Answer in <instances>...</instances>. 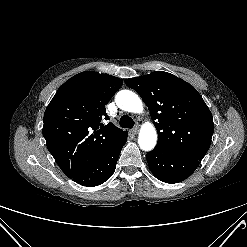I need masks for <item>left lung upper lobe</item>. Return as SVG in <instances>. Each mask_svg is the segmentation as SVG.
Returning <instances> with one entry per match:
<instances>
[{
    "label": "left lung upper lobe",
    "instance_id": "1",
    "mask_svg": "<svg viewBox=\"0 0 247 247\" xmlns=\"http://www.w3.org/2000/svg\"><path fill=\"white\" fill-rule=\"evenodd\" d=\"M125 83L148 106L158 132L156 146L184 157L203 159L211 144L213 118L189 83L163 71L130 78Z\"/></svg>",
    "mask_w": 247,
    "mask_h": 247
}]
</instances>
